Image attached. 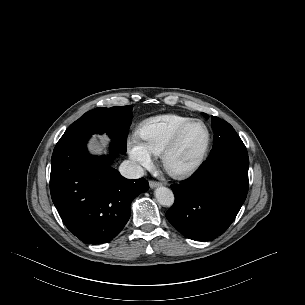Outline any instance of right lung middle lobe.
Segmentation results:
<instances>
[{
	"label": "right lung middle lobe",
	"mask_w": 305,
	"mask_h": 305,
	"mask_svg": "<svg viewBox=\"0 0 305 305\" xmlns=\"http://www.w3.org/2000/svg\"><path fill=\"white\" fill-rule=\"evenodd\" d=\"M132 105L93 109L70 125L57 145L75 139L106 133L121 153L126 152V139L132 118Z\"/></svg>",
	"instance_id": "1"
}]
</instances>
